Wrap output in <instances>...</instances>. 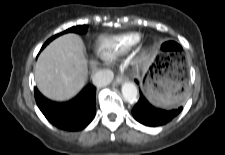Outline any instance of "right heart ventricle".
<instances>
[{"label":"right heart ventricle","instance_id":"1","mask_svg":"<svg viewBox=\"0 0 225 155\" xmlns=\"http://www.w3.org/2000/svg\"><path fill=\"white\" fill-rule=\"evenodd\" d=\"M140 40L141 35L135 32L103 37L99 42L98 50L104 58L114 59L137 45Z\"/></svg>","mask_w":225,"mask_h":155}]
</instances>
